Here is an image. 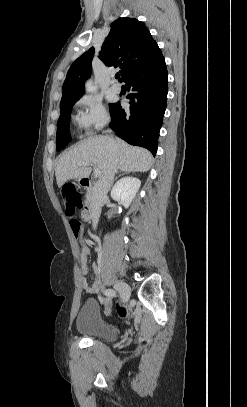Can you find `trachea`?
Instances as JSON below:
<instances>
[{"label":"trachea","instance_id":"trachea-1","mask_svg":"<svg viewBox=\"0 0 247 407\" xmlns=\"http://www.w3.org/2000/svg\"><path fill=\"white\" fill-rule=\"evenodd\" d=\"M115 78H116V79H119V78H120V74L117 73V74L115 75Z\"/></svg>","mask_w":247,"mask_h":407}]
</instances>
